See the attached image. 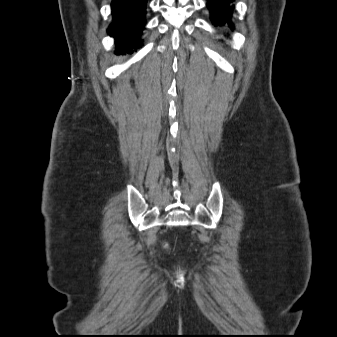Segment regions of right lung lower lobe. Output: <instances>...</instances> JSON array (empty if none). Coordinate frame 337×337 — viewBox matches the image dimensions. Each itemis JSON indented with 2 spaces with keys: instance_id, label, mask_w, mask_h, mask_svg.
Here are the masks:
<instances>
[{
  "instance_id": "right-lung-lower-lobe-1",
  "label": "right lung lower lobe",
  "mask_w": 337,
  "mask_h": 337,
  "mask_svg": "<svg viewBox=\"0 0 337 337\" xmlns=\"http://www.w3.org/2000/svg\"><path fill=\"white\" fill-rule=\"evenodd\" d=\"M147 0H113V22L108 32L114 37L117 54L130 53L142 45Z\"/></svg>"
}]
</instances>
